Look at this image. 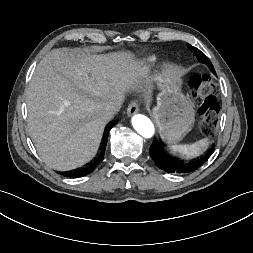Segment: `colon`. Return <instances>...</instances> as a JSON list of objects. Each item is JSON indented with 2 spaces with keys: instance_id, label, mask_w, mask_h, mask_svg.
<instances>
[{
  "instance_id": "1",
  "label": "colon",
  "mask_w": 253,
  "mask_h": 253,
  "mask_svg": "<svg viewBox=\"0 0 253 253\" xmlns=\"http://www.w3.org/2000/svg\"><path fill=\"white\" fill-rule=\"evenodd\" d=\"M189 89L191 96L200 101L199 128L201 132L212 135L215 132L220 111L214 83L208 75L204 74L192 78Z\"/></svg>"
}]
</instances>
